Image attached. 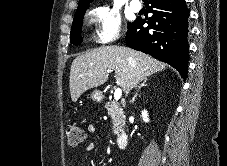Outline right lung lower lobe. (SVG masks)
Instances as JSON below:
<instances>
[{
	"mask_svg": "<svg viewBox=\"0 0 227 166\" xmlns=\"http://www.w3.org/2000/svg\"><path fill=\"white\" fill-rule=\"evenodd\" d=\"M153 16L138 18L126 33L130 48L142 51L176 68L185 79L188 72V17L185 0H146ZM147 27H143L144 24Z\"/></svg>",
	"mask_w": 227,
	"mask_h": 166,
	"instance_id": "98d812e1",
	"label": "right lung lower lobe"
}]
</instances>
